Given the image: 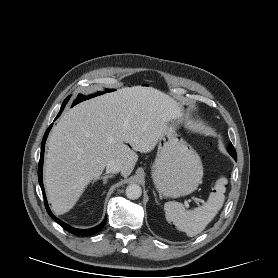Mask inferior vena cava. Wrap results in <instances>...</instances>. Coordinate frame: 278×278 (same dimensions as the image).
<instances>
[{
    "label": "inferior vena cava",
    "instance_id": "obj_1",
    "mask_svg": "<svg viewBox=\"0 0 278 278\" xmlns=\"http://www.w3.org/2000/svg\"><path fill=\"white\" fill-rule=\"evenodd\" d=\"M122 170V164L117 161H109L106 164V172L107 173H119Z\"/></svg>",
    "mask_w": 278,
    "mask_h": 278
}]
</instances>
